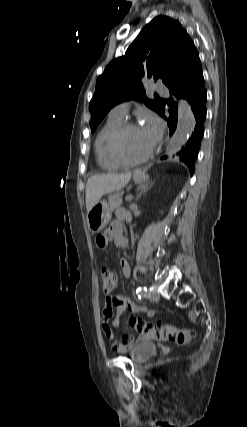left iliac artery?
Segmentation results:
<instances>
[{
  "instance_id": "44dca946",
  "label": "left iliac artery",
  "mask_w": 247,
  "mask_h": 427,
  "mask_svg": "<svg viewBox=\"0 0 247 427\" xmlns=\"http://www.w3.org/2000/svg\"><path fill=\"white\" fill-rule=\"evenodd\" d=\"M136 293H137L139 299L146 297L147 296V288L146 287H144V288L138 287L136 289Z\"/></svg>"
}]
</instances>
